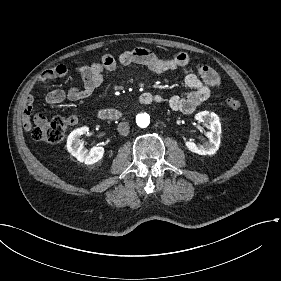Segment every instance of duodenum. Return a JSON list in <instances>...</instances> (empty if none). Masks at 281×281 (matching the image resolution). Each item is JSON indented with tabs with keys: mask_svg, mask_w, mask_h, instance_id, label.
Returning <instances> with one entry per match:
<instances>
[{
	"mask_svg": "<svg viewBox=\"0 0 281 281\" xmlns=\"http://www.w3.org/2000/svg\"><path fill=\"white\" fill-rule=\"evenodd\" d=\"M152 95L151 93H144L142 94L139 99L138 103L146 104L151 101ZM120 112L114 109H104L97 113L96 117L100 121H117L120 119Z\"/></svg>",
	"mask_w": 281,
	"mask_h": 281,
	"instance_id": "1",
	"label": "duodenum"
}]
</instances>
